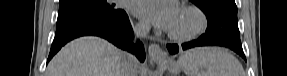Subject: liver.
<instances>
[{"instance_id":"6515ba94","label":"liver","mask_w":287,"mask_h":76,"mask_svg":"<svg viewBox=\"0 0 287 76\" xmlns=\"http://www.w3.org/2000/svg\"><path fill=\"white\" fill-rule=\"evenodd\" d=\"M127 54L94 36L66 44L50 61L47 76H121Z\"/></svg>"}]
</instances>
